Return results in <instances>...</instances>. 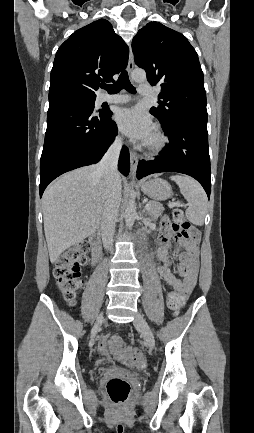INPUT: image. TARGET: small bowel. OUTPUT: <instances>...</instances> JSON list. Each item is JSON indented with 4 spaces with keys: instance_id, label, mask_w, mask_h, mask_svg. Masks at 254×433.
I'll return each instance as SVG.
<instances>
[{
    "instance_id": "c3829d8e",
    "label": "small bowel",
    "mask_w": 254,
    "mask_h": 433,
    "mask_svg": "<svg viewBox=\"0 0 254 433\" xmlns=\"http://www.w3.org/2000/svg\"><path fill=\"white\" fill-rule=\"evenodd\" d=\"M174 239V243L171 239ZM199 236H190L184 232L174 233L167 221L161 225L158 243L159 248L157 252L158 259L162 265L158 268V273L166 284L172 287L177 292L183 303H185L188 296L191 294L197 279L198 270V243ZM172 248L183 249L182 252H177L180 260L178 273L182 279H178L172 273V262L170 259V251ZM107 340L102 339L99 342V351L103 355H108L106 347ZM130 351L138 352L136 348H129Z\"/></svg>"
}]
</instances>
